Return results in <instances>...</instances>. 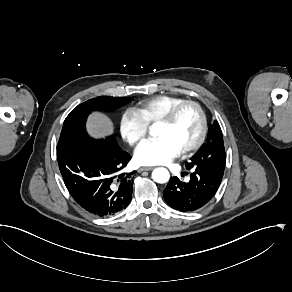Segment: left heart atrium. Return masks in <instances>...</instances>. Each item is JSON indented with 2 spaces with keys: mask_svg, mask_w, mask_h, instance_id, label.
<instances>
[{
  "mask_svg": "<svg viewBox=\"0 0 292 292\" xmlns=\"http://www.w3.org/2000/svg\"><path fill=\"white\" fill-rule=\"evenodd\" d=\"M181 153L180 147L167 136L144 140L136 149L134 159L141 165H159L170 162Z\"/></svg>",
  "mask_w": 292,
  "mask_h": 292,
  "instance_id": "39dd6f15",
  "label": "left heart atrium"
}]
</instances>
